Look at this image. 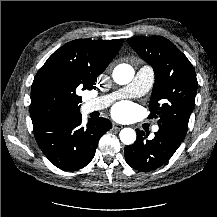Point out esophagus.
I'll return each mask as SVG.
<instances>
[{"label": "esophagus", "mask_w": 217, "mask_h": 217, "mask_svg": "<svg viewBox=\"0 0 217 217\" xmlns=\"http://www.w3.org/2000/svg\"><path fill=\"white\" fill-rule=\"evenodd\" d=\"M112 128L115 129V130H119V129L122 128V125L117 124V123H113V124H112Z\"/></svg>", "instance_id": "obj_1"}]
</instances>
